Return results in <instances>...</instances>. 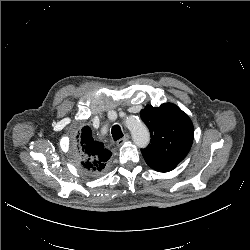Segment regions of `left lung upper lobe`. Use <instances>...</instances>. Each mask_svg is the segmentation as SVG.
<instances>
[{
	"label": "left lung upper lobe",
	"mask_w": 250,
	"mask_h": 250,
	"mask_svg": "<svg viewBox=\"0 0 250 250\" xmlns=\"http://www.w3.org/2000/svg\"><path fill=\"white\" fill-rule=\"evenodd\" d=\"M140 116L151 135L150 144L141 150L146 163L158 172L173 170L186 157L193 142L190 118L172 103L158 108L147 105Z\"/></svg>",
	"instance_id": "obj_1"
}]
</instances>
